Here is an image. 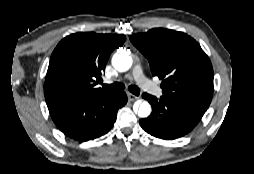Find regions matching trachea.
Returning <instances> with one entry per match:
<instances>
[{
	"instance_id": "obj_1",
	"label": "trachea",
	"mask_w": 254,
	"mask_h": 174,
	"mask_svg": "<svg viewBox=\"0 0 254 174\" xmlns=\"http://www.w3.org/2000/svg\"><path fill=\"white\" fill-rule=\"evenodd\" d=\"M103 87L106 88V89H108L110 92H113V93H114V92L122 91V90H124V88H125L124 84L118 83V82L113 83V84H111V85L104 84ZM128 90H129L131 93H133V94H135V95H137V96H138L139 93H140V89H139L137 86H135V85L129 86V87H128Z\"/></svg>"
}]
</instances>
